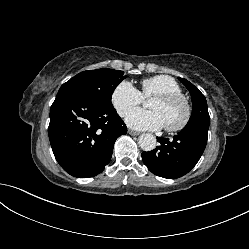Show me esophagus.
<instances>
[{"label":"esophagus","mask_w":249,"mask_h":249,"mask_svg":"<svg viewBox=\"0 0 249 249\" xmlns=\"http://www.w3.org/2000/svg\"><path fill=\"white\" fill-rule=\"evenodd\" d=\"M128 133H129L130 135H134V136H137V135L140 134L139 132H136V131H133V130H128Z\"/></svg>","instance_id":"esophagus-1"}]
</instances>
